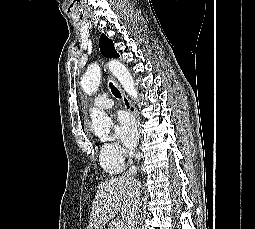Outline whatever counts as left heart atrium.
I'll return each mask as SVG.
<instances>
[{
	"mask_svg": "<svg viewBox=\"0 0 255 229\" xmlns=\"http://www.w3.org/2000/svg\"><path fill=\"white\" fill-rule=\"evenodd\" d=\"M117 138L128 148H133L138 140V130L135 121L125 113H119L115 125Z\"/></svg>",
	"mask_w": 255,
	"mask_h": 229,
	"instance_id": "obj_1",
	"label": "left heart atrium"
}]
</instances>
